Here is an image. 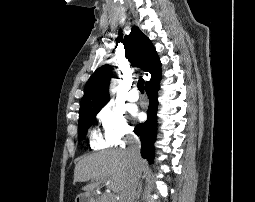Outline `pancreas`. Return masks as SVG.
<instances>
[{"mask_svg":"<svg viewBox=\"0 0 255 202\" xmlns=\"http://www.w3.org/2000/svg\"><path fill=\"white\" fill-rule=\"evenodd\" d=\"M98 202H116V200L114 199V197H112L111 195H102L99 198Z\"/></svg>","mask_w":255,"mask_h":202,"instance_id":"obj_1","label":"pancreas"}]
</instances>
